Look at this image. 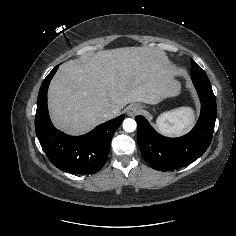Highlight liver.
Returning a JSON list of instances; mask_svg holds the SVG:
<instances>
[{
	"mask_svg": "<svg viewBox=\"0 0 236 236\" xmlns=\"http://www.w3.org/2000/svg\"><path fill=\"white\" fill-rule=\"evenodd\" d=\"M167 57L147 47L86 54L62 64L50 83L48 107L56 128L82 135L129 103L157 104L178 94Z\"/></svg>",
	"mask_w": 236,
	"mask_h": 236,
	"instance_id": "1",
	"label": "liver"
}]
</instances>
